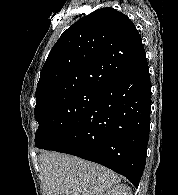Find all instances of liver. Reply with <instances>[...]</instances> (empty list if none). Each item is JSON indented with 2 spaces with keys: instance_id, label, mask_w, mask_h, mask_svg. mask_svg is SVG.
Listing matches in <instances>:
<instances>
[{
  "instance_id": "1",
  "label": "liver",
  "mask_w": 178,
  "mask_h": 195,
  "mask_svg": "<svg viewBox=\"0 0 178 195\" xmlns=\"http://www.w3.org/2000/svg\"><path fill=\"white\" fill-rule=\"evenodd\" d=\"M39 161L44 195H103L121 181L111 170L75 156L44 152Z\"/></svg>"
}]
</instances>
